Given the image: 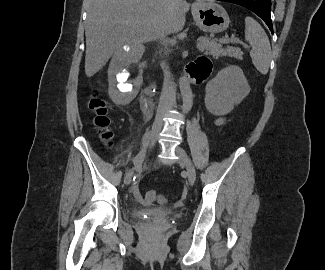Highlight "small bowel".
<instances>
[{"mask_svg":"<svg viewBox=\"0 0 325 270\" xmlns=\"http://www.w3.org/2000/svg\"><path fill=\"white\" fill-rule=\"evenodd\" d=\"M211 71V60L206 56H198L187 66V74L195 82L205 80L210 75ZM224 121V118H219L217 120V124L221 125L224 123ZM133 194L136 200L143 201L142 196L137 188L133 189Z\"/></svg>","mask_w":325,"mask_h":270,"instance_id":"small-bowel-1","label":"small bowel"}]
</instances>
